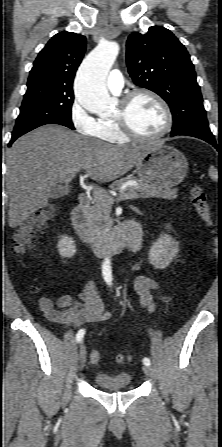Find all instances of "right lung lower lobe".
Segmentation results:
<instances>
[{
	"label": "right lung lower lobe",
	"mask_w": 222,
	"mask_h": 447,
	"mask_svg": "<svg viewBox=\"0 0 222 447\" xmlns=\"http://www.w3.org/2000/svg\"><path fill=\"white\" fill-rule=\"evenodd\" d=\"M18 137H12L11 141L9 142V146H11V144L17 139Z\"/></svg>",
	"instance_id": "obj_1"
}]
</instances>
